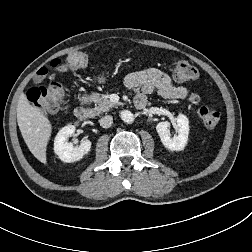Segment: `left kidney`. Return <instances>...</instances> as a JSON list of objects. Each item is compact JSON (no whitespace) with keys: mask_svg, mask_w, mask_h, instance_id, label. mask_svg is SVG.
I'll use <instances>...</instances> for the list:
<instances>
[{"mask_svg":"<svg viewBox=\"0 0 252 252\" xmlns=\"http://www.w3.org/2000/svg\"><path fill=\"white\" fill-rule=\"evenodd\" d=\"M177 135L170 136L169 128L170 123L168 121L160 122L156 126V131L161 139L162 144L169 150L181 151L185 148L188 141L189 134V120L183 115L179 114L177 119Z\"/></svg>","mask_w":252,"mask_h":252,"instance_id":"left-kidney-1","label":"left kidney"}]
</instances>
